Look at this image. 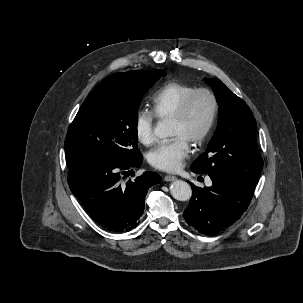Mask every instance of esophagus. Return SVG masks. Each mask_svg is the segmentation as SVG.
Instances as JSON below:
<instances>
[{"mask_svg":"<svg viewBox=\"0 0 303 303\" xmlns=\"http://www.w3.org/2000/svg\"><path fill=\"white\" fill-rule=\"evenodd\" d=\"M176 179H177V177H175V176H173V175H166V176L164 177V180L167 181V182H171V181H174V180H176Z\"/></svg>","mask_w":303,"mask_h":303,"instance_id":"obj_1","label":"esophagus"}]
</instances>
